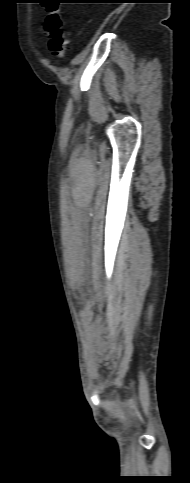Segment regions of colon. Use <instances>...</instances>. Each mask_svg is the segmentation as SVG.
I'll list each match as a JSON object with an SVG mask.
<instances>
[{
    "label": "colon",
    "mask_w": 190,
    "mask_h": 483,
    "mask_svg": "<svg viewBox=\"0 0 190 483\" xmlns=\"http://www.w3.org/2000/svg\"><path fill=\"white\" fill-rule=\"evenodd\" d=\"M45 32L48 36V49L50 53L58 59L65 56L68 48L64 21L59 8L53 9L45 23Z\"/></svg>",
    "instance_id": "5ec220e1"
}]
</instances>
